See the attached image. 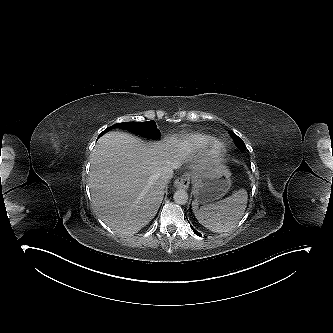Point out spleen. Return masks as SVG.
<instances>
[{
    "label": "spleen",
    "instance_id": "obj_1",
    "mask_svg": "<svg viewBox=\"0 0 333 333\" xmlns=\"http://www.w3.org/2000/svg\"><path fill=\"white\" fill-rule=\"evenodd\" d=\"M247 199L246 190L240 189L226 199L201 208H198V204L194 202L193 211L199 223L207 229L217 233L229 232L242 218Z\"/></svg>",
    "mask_w": 333,
    "mask_h": 333
}]
</instances>
